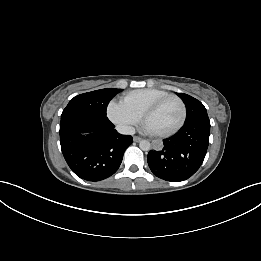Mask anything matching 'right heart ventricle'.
<instances>
[{"label":"right heart ventricle","mask_w":261,"mask_h":261,"mask_svg":"<svg viewBox=\"0 0 261 261\" xmlns=\"http://www.w3.org/2000/svg\"><path fill=\"white\" fill-rule=\"evenodd\" d=\"M166 95H169V92L162 89H138L126 93L123 96L122 103L139 117H141L148 106Z\"/></svg>","instance_id":"e07e8e85"}]
</instances>
